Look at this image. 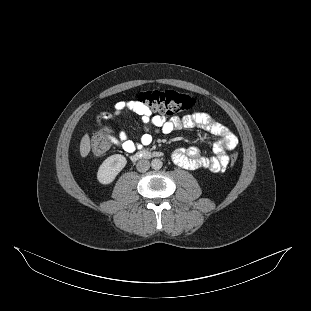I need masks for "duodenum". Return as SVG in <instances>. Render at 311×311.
I'll return each instance as SVG.
<instances>
[{"instance_id":"obj_1","label":"duodenum","mask_w":311,"mask_h":311,"mask_svg":"<svg viewBox=\"0 0 311 311\" xmlns=\"http://www.w3.org/2000/svg\"><path fill=\"white\" fill-rule=\"evenodd\" d=\"M158 155H160L158 152H150L147 150H142V151L135 153L132 156V158L134 160H138V159H145V158H150L151 156H158Z\"/></svg>"}]
</instances>
